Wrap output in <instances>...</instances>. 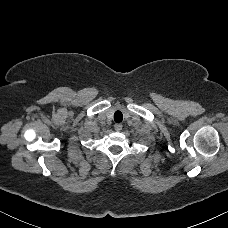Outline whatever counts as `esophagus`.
I'll return each mask as SVG.
<instances>
[{
    "label": "esophagus",
    "instance_id": "obj_1",
    "mask_svg": "<svg viewBox=\"0 0 228 228\" xmlns=\"http://www.w3.org/2000/svg\"><path fill=\"white\" fill-rule=\"evenodd\" d=\"M114 128L117 132L121 131L122 130V125L121 124H115L114 125Z\"/></svg>",
    "mask_w": 228,
    "mask_h": 228
}]
</instances>
